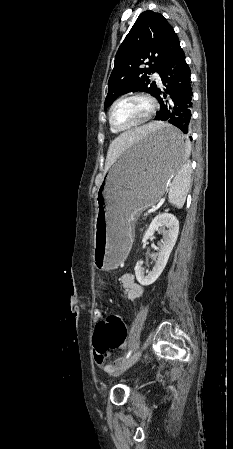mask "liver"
Here are the masks:
<instances>
[{
    "label": "liver",
    "mask_w": 233,
    "mask_h": 449,
    "mask_svg": "<svg viewBox=\"0 0 233 449\" xmlns=\"http://www.w3.org/2000/svg\"><path fill=\"white\" fill-rule=\"evenodd\" d=\"M162 125V122H151L146 125L128 130L124 133H119L118 137L112 141L109 146L106 158V169L125 152L133 143L139 142L140 138L157 129Z\"/></svg>",
    "instance_id": "1"
}]
</instances>
